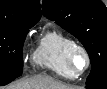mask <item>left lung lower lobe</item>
I'll use <instances>...</instances> for the list:
<instances>
[{"label":"left lung lower lobe","instance_id":"0a47b994","mask_svg":"<svg viewBox=\"0 0 107 89\" xmlns=\"http://www.w3.org/2000/svg\"><path fill=\"white\" fill-rule=\"evenodd\" d=\"M87 89H107V77H103L102 79H99L98 81L87 84Z\"/></svg>","mask_w":107,"mask_h":89}]
</instances>
